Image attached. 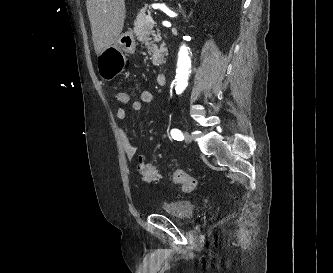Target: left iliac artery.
<instances>
[{
  "instance_id": "1",
  "label": "left iliac artery",
  "mask_w": 333,
  "mask_h": 273,
  "mask_svg": "<svg viewBox=\"0 0 333 273\" xmlns=\"http://www.w3.org/2000/svg\"><path fill=\"white\" fill-rule=\"evenodd\" d=\"M171 136L173 139L178 140V141H181L184 139L182 132L178 129H172Z\"/></svg>"
}]
</instances>
